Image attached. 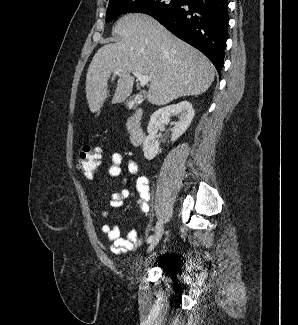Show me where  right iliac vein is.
Segmentation results:
<instances>
[{"mask_svg": "<svg viewBox=\"0 0 298 325\" xmlns=\"http://www.w3.org/2000/svg\"><path fill=\"white\" fill-rule=\"evenodd\" d=\"M163 230H164L163 221L161 219H159L157 222V225H156L154 239L150 243V246L148 248V253L152 252L154 250V248L156 247V245L159 243V240L161 239L162 234H163Z\"/></svg>", "mask_w": 298, "mask_h": 325, "instance_id": "63e3f726", "label": "right iliac vein"}]
</instances>
